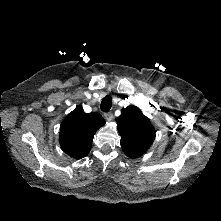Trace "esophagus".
I'll return each instance as SVG.
<instances>
[{
    "label": "esophagus",
    "mask_w": 221,
    "mask_h": 221,
    "mask_svg": "<svg viewBox=\"0 0 221 221\" xmlns=\"http://www.w3.org/2000/svg\"><path fill=\"white\" fill-rule=\"evenodd\" d=\"M104 118L107 121H111L113 119V114L111 112H107V113L104 114Z\"/></svg>",
    "instance_id": "esophagus-1"
}]
</instances>
